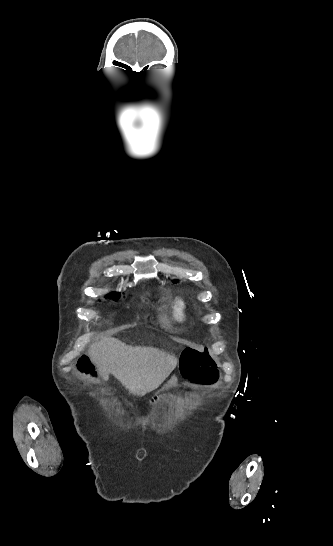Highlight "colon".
I'll use <instances>...</instances> for the list:
<instances>
[{"label":"colon","mask_w":333,"mask_h":546,"mask_svg":"<svg viewBox=\"0 0 333 546\" xmlns=\"http://www.w3.org/2000/svg\"><path fill=\"white\" fill-rule=\"evenodd\" d=\"M182 373L186 378L202 384H213L218 380V370L215 362L205 348H187L182 353ZM77 368L80 371L88 372V378H97L95 367L88 363L86 357H80L77 361ZM90 372V373H89Z\"/></svg>","instance_id":"1"}]
</instances>
